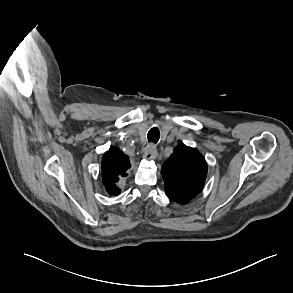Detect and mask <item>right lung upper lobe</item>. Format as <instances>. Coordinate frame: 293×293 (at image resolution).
<instances>
[{
    "label": "right lung upper lobe",
    "mask_w": 293,
    "mask_h": 293,
    "mask_svg": "<svg viewBox=\"0 0 293 293\" xmlns=\"http://www.w3.org/2000/svg\"><path fill=\"white\" fill-rule=\"evenodd\" d=\"M131 167L128 156L118 148L111 147L102 157V179L107 192L110 195H118L120 189L117 182L127 176L126 171Z\"/></svg>",
    "instance_id": "cb5924a9"
}]
</instances>
